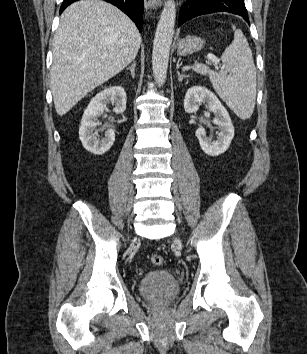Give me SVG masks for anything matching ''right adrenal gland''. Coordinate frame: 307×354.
Masks as SVG:
<instances>
[{
  "label": "right adrenal gland",
  "mask_w": 307,
  "mask_h": 354,
  "mask_svg": "<svg viewBox=\"0 0 307 354\" xmlns=\"http://www.w3.org/2000/svg\"><path fill=\"white\" fill-rule=\"evenodd\" d=\"M135 67H136V62L133 61L132 65L127 68V70H130L131 75L133 78H135Z\"/></svg>",
  "instance_id": "1"
}]
</instances>
